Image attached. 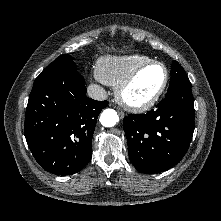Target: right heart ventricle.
<instances>
[{
  "label": "right heart ventricle",
  "instance_id": "e07e8e85",
  "mask_svg": "<svg viewBox=\"0 0 221 221\" xmlns=\"http://www.w3.org/2000/svg\"><path fill=\"white\" fill-rule=\"evenodd\" d=\"M151 60V58L141 54L105 56L100 58L97 63V76L108 85L118 86L136 68Z\"/></svg>",
  "mask_w": 221,
  "mask_h": 221
}]
</instances>
